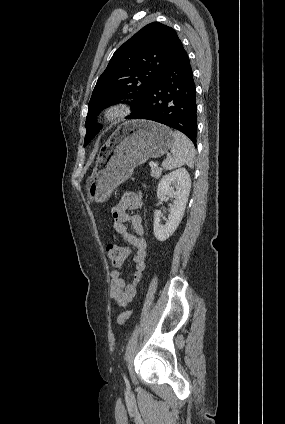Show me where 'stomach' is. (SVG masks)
Wrapping results in <instances>:
<instances>
[{"label": "stomach", "mask_w": 285, "mask_h": 424, "mask_svg": "<svg viewBox=\"0 0 285 424\" xmlns=\"http://www.w3.org/2000/svg\"><path fill=\"white\" fill-rule=\"evenodd\" d=\"M174 143L170 128L146 120L123 123L103 145L85 185L91 202H104L135 167L167 153Z\"/></svg>", "instance_id": "stomach-1"}]
</instances>
